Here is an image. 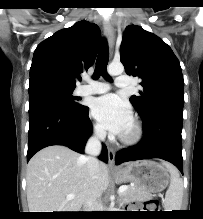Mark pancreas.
Instances as JSON below:
<instances>
[{"instance_id":"cf45deb5","label":"pancreas","mask_w":203,"mask_h":219,"mask_svg":"<svg viewBox=\"0 0 203 219\" xmlns=\"http://www.w3.org/2000/svg\"><path fill=\"white\" fill-rule=\"evenodd\" d=\"M127 190L122 193L121 195V200L124 203H129L133 201H142V200H147L152 197V195L148 194L141 188L137 186H127Z\"/></svg>"}]
</instances>
